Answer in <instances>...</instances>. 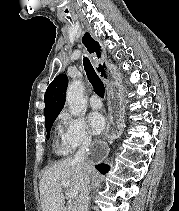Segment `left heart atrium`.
<instances>
[{
	"label": "left heart atrium",
	"mask_w": 179,
	"mask_h": 211,
	"mask_svg": "<svg viewBox=\"0 0 179 211\" xmlns=\"http://www.w3.org/2000/svg\"><path fill=\"white\" fill-rule=\"evenodd\" d=\"M88 121L94 134H99L103 131L105 127V119L100 113H91L88 117Z\"/></svg>",
	"instance_id": "obj_1"
}]
</instances>
